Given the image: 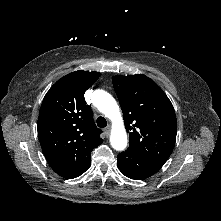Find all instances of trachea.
Wrapping results in <instances>:
<instances>
[{
  "mask_svg": "<svg viewBox=\"0 0 221 221\" xmlns=\"http://www.w3.org/2000/svg\"><path fill=\"white\" fill-rule=\"evenodd\" d=\"M96 122H97V126L100 128H105L107 126V121L102 116L98 117Z\"/></svg>",
  "mask_w": 221,
  "mask_h": 221,
  "instance_id": "3493384b",
  "label": "trachea"
}]
</instances>
